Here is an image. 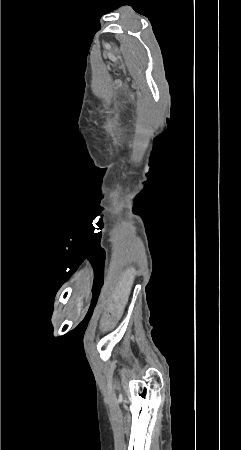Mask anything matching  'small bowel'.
<instances>
[{"label":"small bowel","instance_id":"obj_1","mask_svg":"<svg viewBox=\"0 0 241 450\" xmlns=\"http://www.w3.org/2000/svg\"><path fill=\"white\" fill-rule=\"evenodd\" d=\"M102 305V310L96 312V317L98 319H126V310H119L118 308L122 305L120 302L115 300L109 302L106 300ZM107 325L111 327L113 324L109 322Z\"/></svg>","mask_w":241,"mask_h":450}]
</instances>
